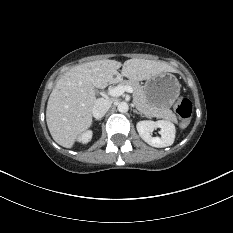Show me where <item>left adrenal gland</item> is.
I'll use <instances>...</instances> for the list:
<instances>
[{
  "mask_svg": "<svg viewBox=\"0 0 233 233\" xmlns=\"http://www.w3.org/2000/svg\"><path fill=\"white\" fill-rule=\"evenodd\" d=\"M133 112L142 116V113L138 112V111L135 110V109H133Z\"/></svg>",
  "mask_w": 233,
  "mask_h": 233,
  "instance_id": "1",
  "label": "left adrenal gland"
}]
</instances>
